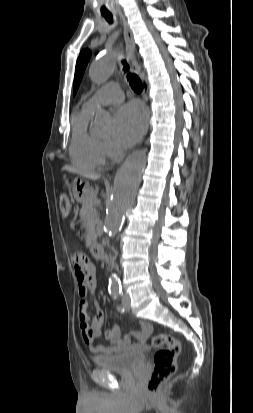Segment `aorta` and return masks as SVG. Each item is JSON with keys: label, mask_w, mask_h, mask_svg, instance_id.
Wrapping results in <instances>:
<instances>
[{"label": "aorta", "mask_w": 253, "mask_h": 413, "mask_svg": "<svg viewBox=\"0 0 253 413\" xmlns=\"http://www.w3.org/2000/svg\"><path fill=\"white\" fill-rule=\"evenodd\" d=\"M116 68L113 54L107 53L94 61L89 68V76L93 83H105ZM95 126L99 131H109L112 119L109 112L100 110L95 116ZM146 166V155L139 151L130 155L118 170L112 196L107 204L104 230L109 238H113L120 230L126 211L132 206ZM111 290H119L120 283L115 276L109 280Z\"/></svg>", "instance_id": "obj_1"}]
</instances>
